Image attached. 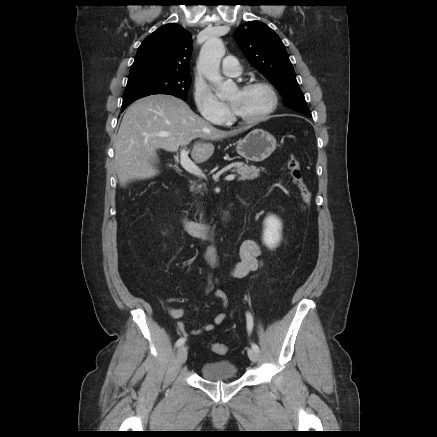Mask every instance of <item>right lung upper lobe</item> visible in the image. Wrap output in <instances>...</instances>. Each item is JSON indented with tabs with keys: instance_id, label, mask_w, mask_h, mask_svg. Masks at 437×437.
Instances as JSON below:
<instances>
[{
	"instance_id": "right-lung-upper-lobe-1",
	"label": "right lung upper lobe",
	"mask_w": 437,
	"mask_h": 437,
	"mask_svg": "<svg viewBox=\"0 0 437 437\" xmlns=\"http://www.w3.org/2000/svg\"><path fill=\"white\" fill-rule=\"evenodd\" d=\"M191 34L183 27L169 23L147 36L138 48L133 71H157L189 75Z\"/></svg>"
}]
</instances>
